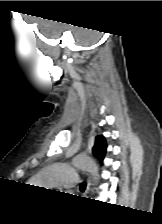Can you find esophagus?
<instances>
[{"label": "esophagus", "instance_id": "1", "mask_svg": "<svg viewBox=\"0 0 162 224\" xmlns=\"http://www.w3.org/2000/svg\"><path fill=\"white\" fill-rule=\"evenodd\" d=\"M89 188H90V177L88 178V181H87V186H86V190H85V195L88 193Z\"/></svg>", "mask_w": 162, "mask_h": 224}]
</instances>
